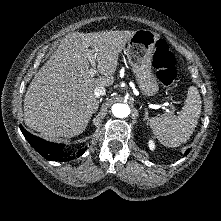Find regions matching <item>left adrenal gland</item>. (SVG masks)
Wrapping results in <instances>:
<instances>
[{
    "label": "left adrenal gland",
    "instance_id": "obj_1",
    "mask_svg": "<svg viewBox=\"0 0 221 221\" xmlns=\"http://www.w3.org/2000/svg\"><path fill=\"white\" fill-rule=\"evenodd\" d=\"M145 110V116H144V121H147V119H148V110L145 108L144 109ZM148 124V123H147Z\"/></svg>",
    "mask_w": 221,
    "mask_h": 221
}]
</instances>
